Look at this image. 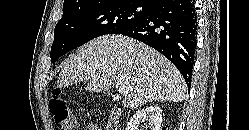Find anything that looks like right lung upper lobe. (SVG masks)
I'll use <instances>...</instances> for the list:
<instances>
[{
    "label": "right lung upper lobe",
    "instance_id": "obj_1",
    "mask_svg": "<svg viewBox=\"0 0 249 130\" xmlns=\"http://www.w3.org/2000/svg\"><path fill=\"white\" fill-rule=\"evenodd\" d=\"M111 0H64L63 4V12L77 10L89 5L106 2ZM139 2H146L152 7L155 5L159 0H134Z\"/></svg>",
    "mask_w": 249,
    "mask_h": 130
}]
</instances>
